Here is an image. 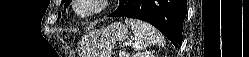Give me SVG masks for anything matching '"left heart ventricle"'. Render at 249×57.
Masks as SVG:
<instances>
[{
	"label": "left heart ventricle",
	"mask_w": 249,
	"mask_h": 57,
	"mask_svg": "<svg viewBox=\"0 0 249 57\" xmlns=\"http://www.w3.org/2000/svg\"><path fill=\"white\" fill-rule=\"evenodd\" d=\"M94 8V4L92 3V1H87L86 3H84L81 7V9L83 11H90Z\"/></svg>",
	"instance_id": "left-heart-ventricle-1"
}]
</instances>
